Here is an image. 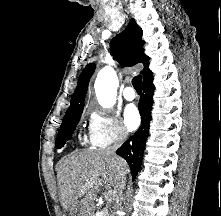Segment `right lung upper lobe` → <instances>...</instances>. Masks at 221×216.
Masks as SVG:
<instances>
[{
	"mask_svg": "<svg viewBox=\"0 0 221 216\" xmlns=\"http://www.w3.org/2000/svg\"><path fill=\"white\" fill-rule=\"evenodd\" d=\"M144 43L142 40V29L136 24L134 19H131L127 28L113 38L110 44L115 59L122 66H133L137 63H143L144 69L141 71L143 81L152 76V72L148 69L149 58L143 52ZM94 70V64H89L82 71L70 101V106L64 117L83 110L89 79Z\"/></svg>",
	"mask_w": 221,
	"mask_h": 216,
	"instance_id": "1",
	"label": "right lung upper lobe"
}]
</instances>
